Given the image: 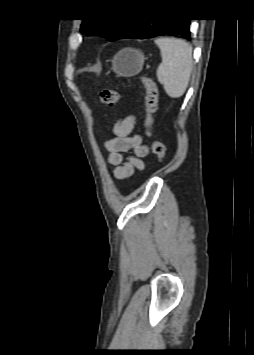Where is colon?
Masks as SVG:
<instances>
[{"label": "colon", "mask_w": 254, "mask_h": 355, "mask_svg": "<svg viewBox=\"0 0 254 355\" xmlns=\"http://www.w3.org/2000/svg\"><path fill=\"white\" fill-rule=\"evenodd\" d=\"M142 84L146 89L145 97V112L143 127L146 137H152V124L154 119V114L157 110V101H158V89L156 84L148 77L140 78ZM100 103L104 106H115L120 101V93L117 89H106L100 93L99 96ZM152 152L157 158L158 161H163L166 157L165 145L160 141H151Z\"/></svg>", "instance_id": "colon-1"}]
</instances>
